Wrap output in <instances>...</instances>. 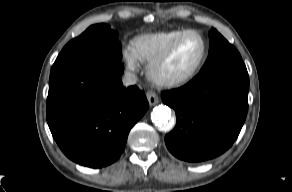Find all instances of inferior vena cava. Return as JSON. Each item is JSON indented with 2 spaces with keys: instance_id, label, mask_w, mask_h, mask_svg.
Instances as JSON below:
<instances>
[{
  "instance_id": "602c4592",
  "label": "inferior vena cava",
  "mask_w": 292,
  "mask_h": 192,
  "mask_svg": "<svg viewBox=\"0 0 292 192\" xmlns=\"http://www.w3.org/2000/svg\"><path fill=\"white\" fill-rule=\"evenodd\" d=\"M137 75L135 73L132 72H125L123 78H122V82L124 84V86H130V85H134L137 83Z\"/></svg>"
}]
</instances>
